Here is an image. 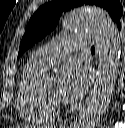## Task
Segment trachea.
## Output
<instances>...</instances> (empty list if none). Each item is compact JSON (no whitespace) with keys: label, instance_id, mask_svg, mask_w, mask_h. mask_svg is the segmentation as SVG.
I'll use <instances>...</instances> for the list:
<instances>
[{"label":"trachea","instance_id":"obj_1","mask_svg":"<svg viewBox=\"0 0 125 128\" xmlns=\"http://www.w3.org/2000/svg\"><path fill=\"white\" fill-rule=\"evenodd\" d=\"M91 51H95V48H94V46H93V47H91Z\"/></svg>","mask_w":125,"mask_h":128}]
</instances>
